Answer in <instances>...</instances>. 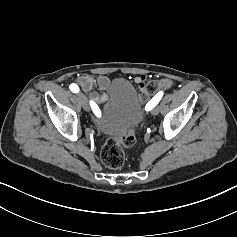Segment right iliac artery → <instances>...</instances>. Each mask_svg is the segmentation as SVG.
Returning a JSON list of instances; mask_svg holds the SVG:
<instances>
[{
	"mask_svg": "<svg viewBox=\"0 0 237 237\" xmlns=\"http://www.w3.org/2000/svg\"><path fill=\"white\" fill-rule=\"evenodd\" d=\"M70 90L73 92V93H78L79 92V87H78V85H76V84H71L70 85ZM91 104H93V105H95L96 106V104L95 103H93V102H91Z\"/></svg>",
	"mask_w": 237,
	"mask_h": 237,
	"instance_id": "82829eb1",
	"label": "right iliac artery"
}]
</instances>
